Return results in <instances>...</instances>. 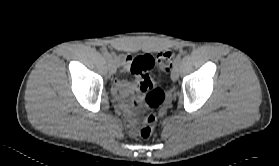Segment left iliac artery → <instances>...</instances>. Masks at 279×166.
<instances>
[{"label":"left iliac artery","instance_id":"1","mask_svg":"<svg viewBox=\"0 0 279 166\" xmlns=\"http://www.w3.org/2000/svg\"><path fill=\"white\" fill-rule=\"evenodd\" d=\"M181 60V56L178 57V59L175 61L174 66L179 65Z\"/></svg>","mask_w":279,"mask_h":166}]
</instances>
